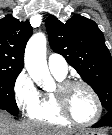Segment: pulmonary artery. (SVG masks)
I'll return each mask as SVG.
<instances>
[{"mask_svg": "<svg viewBox=\"0 0 112 135\" xmlns=\"http://www.w3.org/2000/svg\"><path fill=\"white\" fill-rule=\"evenodd\" d=\"M48 67L53 75L65 77L68 72V65L65 59L58 54H50L48 57Z\"/></svg>", "mask_w": 112, "mask_h": 135, "instance_id": "pulmonary-artery-1", "label": "pulmonary artery"}]
</instances>
